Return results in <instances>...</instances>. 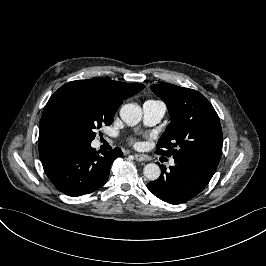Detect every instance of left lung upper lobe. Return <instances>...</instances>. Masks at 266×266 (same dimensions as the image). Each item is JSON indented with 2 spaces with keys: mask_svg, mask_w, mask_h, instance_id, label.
Instances as JSON below:
<instances>
[{
  "mask_svg": "<svg viewBox=\"0 0 266 266\" xmlns=\"http://www.w3.org/2000/svg\"><path fill=\"white\" fill-rule=\"evenodd\" d=\"M150 88L166 103L172 120L157 143V153L196 157L218 165L223 136L210 102L196 90L172 84Z\"/></svg>",
  "mask_w": 266,
  "mask_h": 266,
  "instance_id": "1",
  "label": "left lung upper lobe"
}]
</instances>
